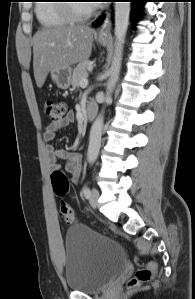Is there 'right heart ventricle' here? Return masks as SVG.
Instances as JSON below:
<instances>
[{"label":"right heart ventricle","instance_id":"e07e8e85","mask_svg":"<svg viewBox=\"0 0 195 299\" xmlns=\"http://www.w3.org/2000/svg\"><path fill=\"white\" fill-rule=\"evenodd\" d=\"M59 0H42L35 7V14L43 27L53 28L69 25L72 20L66 14Z\"/></svg>","mask_w":195,"mask_h":299}]
</instances>
